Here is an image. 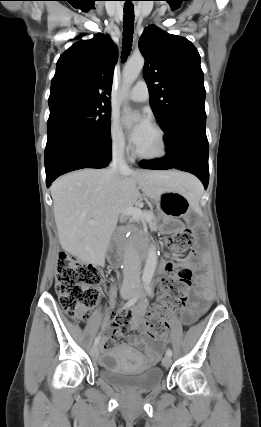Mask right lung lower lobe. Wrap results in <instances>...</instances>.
I'll list each match as a JSON object with an SVG mask.
<instances>
[{
    "instance_id": "98d812e1",
    "label": "right lung lower lobe",
    "mask_w": 261,
    "mask_h": 427,
    "mask_svg": "<svg viewBox=\"0 0 261 427\" xmlns=\"http://www.w3.org/2000/svg\"><path fill=\"white\" fill-rule=\"evenodd\" d=\"M111 150V137L89 139L61 134L48 138L45 149L47 187L67 172L108 166Z\"/></svg>"
}]
</instances>
